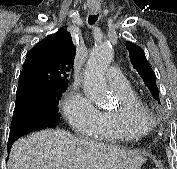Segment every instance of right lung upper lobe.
I'll list each match as a JSON object with an SVG mask.
<instances>
[{
    "instance_id": "1",
    "label": "right lung upper lobe",
    "mask_w": 177,
    "mask_h": 169,
    "mask_svg": "<svg viewBox=\"0 0 177 169\" xmlns=\"http://www.w3.org/2000/svg\"><path fill=\"white\" fill-rule=\"evenodd\" d=\"M74 55L71 35L63 28L40 41L27 54L16 96L67 88Z\"/></svg>"
}]
</instances>
